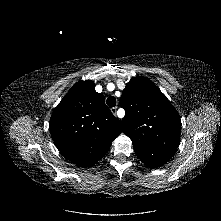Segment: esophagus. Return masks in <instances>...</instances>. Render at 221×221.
Masks as SVG:
<instances>
[{"label": "esophagus", "instance_id": "esophagus-1", "mask_svg": "<svg viewBox=\"0 0 221 221\" xmlns=\"http://www.w3.org/2000/svg\"><path fill=\"white\" fill-rule=\"evenodd\" d=\"M111 112H112L113 115H116V113H117V107L111 108Z\"/></svg>", "mask_w": 221, "mask_h": 221}]
</instances>
